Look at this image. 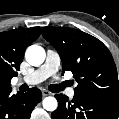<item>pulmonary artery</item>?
<instances>
[{
    "label": "pulmonary artery",
    "instance_id": "1",
    "mask_svg": "<svg viewBox=\"0 0 119 119\" xmlns=\"http://www.w3.org/2000/svg\"><path fill=\"white\" fill-rule=\"evenodd\" d=\"M59 65V54L56 51L49 49L46 54L45 62L32 73L19 79L18 83H25L28 85L38 84L47 79L48 77L54 75L57 72ZM67 94L69 97H73L74 89H68Z\"/></svg>",
    "mask_w": 119,
    "mask_h": 119
}]
</instances>
